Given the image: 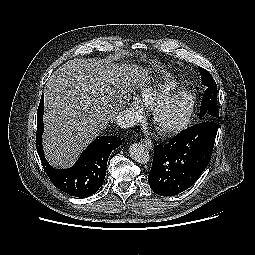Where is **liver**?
I'll return each instance as SVG.
<instances>
[{"label": "liver", "mask_w": 255, "mask_h": 255, "mask_svg": "<svg viewBox=\"0 0 255 255\" xmlns=\"http://www.w3.org/2000/svg\"><path fill=\"white\" fill-rule=\"evenodd\" d=\"M145 74L112 59H73L48 79L45 90L44 148L56 167L71 166L79 153L114 120L131 87Z\"/></svg>", "instance_id": "6515ba94"}]
</instances>
